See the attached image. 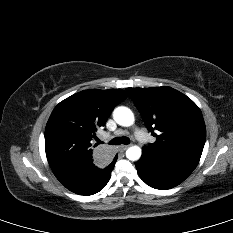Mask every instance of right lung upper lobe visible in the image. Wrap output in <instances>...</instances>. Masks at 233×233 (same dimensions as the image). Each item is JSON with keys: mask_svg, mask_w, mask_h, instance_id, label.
<instances>
[{"mask_svg": "<svg viewBox=\"0 0 233 233\" xmlns=\"http://www.w3.org/2000/svg\"><path fill=\"white\" fill-rule=\"evenodd\" d=\"M127 96L122 89H89L61 101L45 129V151L51 168L93 161L95 132Z\"/></svg>", "mask_w": 233, "mask_h": 233, "instance_id": "right-lung-upper-lobe-1", "label": "right lung upper lobe"}]
</instances>
